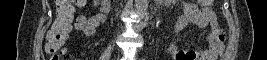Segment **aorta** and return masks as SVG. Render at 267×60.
I'll return each mask as SVG.
<instances>
[{
  "mask_svg": "<svg viewBox=\"0 0 267 60\" xmlns=\"http://www.w3.org/2000/svg\"><path fill=\"white\" fill-rule=\"evenodd\" d=\"M135 7L137 13L141 18H144L147 15L148 11V1L147 0H135Z\"/></svg>",
  "mask_w": 267,
  "mask_h": 60,
  "instance_id": "762f6f07",
  "label": "aorta"
}]
</instances>
